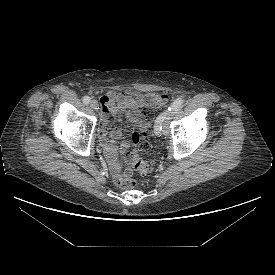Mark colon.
Returning <instances> with one entry per match:
<instances>
[{"mask_svg": "<svg viewBox=\"0 0 275 275\" xmlns=\"http://www.w3.org/2000/svg\"><path fill=\"white\" fill-rule=\"evenodd\" d=\"M168 100V96L166 94L161 93H151L144 97V103L146 108L143 112V117L147 122H150L153 119V109L162 107L166 104ZM131 141L135 147V152L133 153V166L134 169L139 172L140 174H146L152 168L150 162H146L142 160L137 151L145 153L148 152L152 148V143L150 139V130L149 127L146 125L142 131L133 130L131 133ZM137 184V179L127 178L123 180L119 185L125 189H130L135 187Z\"/></svg>", "mask_w": 275, "mask_h": 275, "instance_id": "5ec220e1", "label": "colon"}]
</instances>
